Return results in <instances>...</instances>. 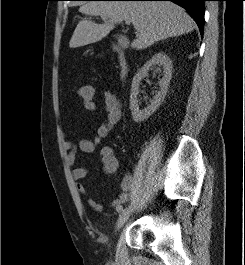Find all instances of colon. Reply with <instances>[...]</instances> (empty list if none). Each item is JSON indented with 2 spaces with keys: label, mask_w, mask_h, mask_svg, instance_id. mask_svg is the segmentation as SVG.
<instances>
[{
  "label": "colon",
  "mask_w": 245,
  "mask_h": 265,
  "mask_svg": "<svg viewBox=\"0 0 245 265\" xmlns=\"http://www.w3.org/2000/svg\"><path fill=\"white\" fill-rule=\"evenodd\" d=\"M78 95L83 103L94 101L95 88L93 85H83L79 87Z\"/></svg>",
  "instance_id": "colon-1"
}]
</instances>
